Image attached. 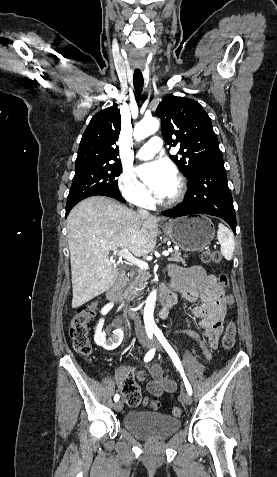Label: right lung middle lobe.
<instances>
[{"mask_svg": "<svg viewBox=\"0 0 277 477\" xmlns=\"http://www.w3.org/2000/svg\"><path fill=\"white\" fill-rule=\"evenodd\" d=\"M122 172L120 163H98L75 167L66 210L79 201L96 194L120 195L117 180Z\"/></svg>", "mask_w": 277, "mask_h": 477, "instance_id": "1", "label": "right lung middle lobe"}]
</instances>
